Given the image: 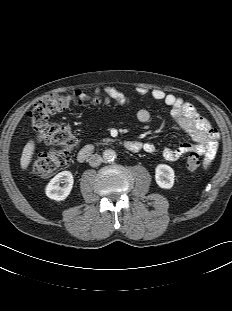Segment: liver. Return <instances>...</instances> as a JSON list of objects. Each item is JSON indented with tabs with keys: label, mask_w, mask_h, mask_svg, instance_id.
<instances>
[{
	"label": "liver",
	"mask_w": 232,
	"mask_h": 311,
	"mask_svg": "<svg viewBox=\"0 0 232 311\" xmlns=\"http://www.w3.org/2000/svg\"><path fill=\"white\" fill-rule=\"evenodd\" d=\"M35 143L33 140L28 141L25 145L22 156L20 159V165L23 170H26L31 162L32 155L34 154Z\"/></svg>",
	"instance_id": "1"
}]
</instances>
